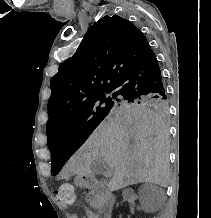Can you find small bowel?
Listing matches in <instances>:
<instances>
[{"label":"small bowel","mask_w":211,"mask_h":218,"mask_svg":"<svg viewBox=\"0 0 211 218\" xmlns=\"http://www.w3.org/2000/svg\"><path fill=\"white\" fill-rule=\"evenodd\" d=\"M86 217L87 218H98L97 214L91 210L86 211Z\"/></svg>","instance_id":"small-bowel-1"}]
</instances>
